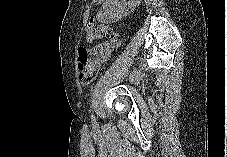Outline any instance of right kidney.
I'll return each instance as SVG.
<instances>
[{"instance_id":"ca27d5eb","label":"right kidney","mask_w":227,"mask_h":157,"mask_svg":"<svg viewBox=\"0 0 227 157\" xmlns=\"http://www.w3.org/2000/svg\"><path fill=\"white\" fill-rule=\"evenodd\" d=\"M119 2L116 1H107L100 9L98 17L106 21L107 23L116 22L120 20L122 17L126 16L129 12L128 8L126 7L127 2L124 0Z\"/></svg>"}]
</instances>
